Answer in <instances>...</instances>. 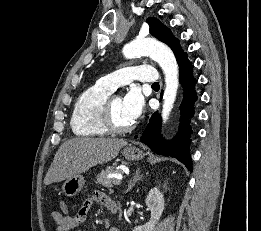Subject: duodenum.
Returning a JSON list of instances; mask_svg holds the SVG:
<instances>
[{
  "instance_id": "obj_1",
  "label": "duodenum",
  "mask_w": 261,
  "mask_h": 231,
  "mask_svg": "<svg viewBox=\"0 0 261 231\" xmlns=\"http://www.w3.org/2000/svg\"><path fill=\"white\" fill-rule=\"evenodd\" d=\"M108 208L112 211V212H116L117 210V204L115 202H112L108 205Z\"/></svg>"
}]
</instances>
